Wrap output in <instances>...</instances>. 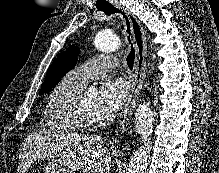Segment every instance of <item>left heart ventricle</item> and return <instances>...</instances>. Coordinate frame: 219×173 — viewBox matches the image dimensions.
<instances>
[{
    "instance_id": "obj_1",
    "label": "left heart ventricle",
    "mask_w": 219,
    "mask_h": 173,
    "mask_svg": "<svg viewBox=\"0 0 219 173\" xmlns=\"http://www.w3.org/2000/svg\"><path fill=\"white\" fill-rule=\"evenodd\" d=\"M96 100H97V97L95 94L85 93L81 97V104H82L83 109L86 111L88 115H90L93 118L98 119V116L96 113Z\"/></svg>"
}]
</instances>
